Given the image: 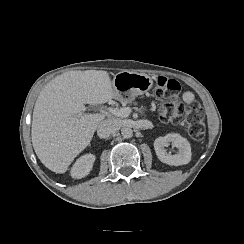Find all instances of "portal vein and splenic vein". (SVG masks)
<instances>
[{
	"label": "portal vein and splenic vein",
	"mask_w": 244,
	"mask_h": 244,
	"mask_svg": "<svg viewBox=\"0 0 244 244\" xmlns=\"http://www.w3.org/2000/svg\"><path fill=\"white\" fill-rule=\"evenodd\" d=\"M109 112L117 117H128L131 113L130 107H124V108H109Z\"/></svg>",
	"instance_id": "portal-vein-and-splenic-vein-1"
}]
</instances>
